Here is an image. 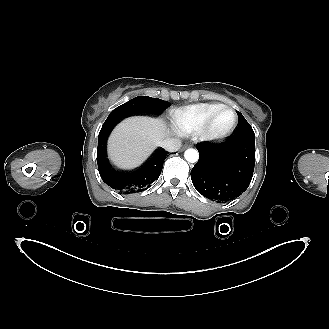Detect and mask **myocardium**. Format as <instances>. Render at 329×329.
<instances>
[{"instance_id": "f54148a6", "label": "myocardium", "mask_w": 329, "mask_h": 329, "mask_svg": "<svg viewBox=\"0 0 329 329\" xmlns=\"http://www.w3.org/2000/svg\"><path fill=\"white\" fill-rule=\"evenodd\" d=\"M225 110H230L233 112L234 114V122L232 124V126L230 127L229 130H227L226 132L223 133H214L212 131V126L213 123L216 119V117L223 111ZM238 124V113L236 111L235 108L231 107V106H227L224 105L220 108H218L217 110H215L208 118L207 120L203 123V125L198 129V131L196 132L197 136L199 139L201 140H205V141H217V140H221L224 139L228 136H230L234 130L236 129Z\"/></svg>"}]
</instances>
